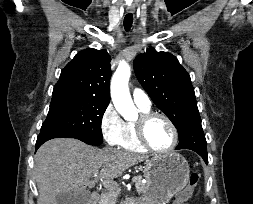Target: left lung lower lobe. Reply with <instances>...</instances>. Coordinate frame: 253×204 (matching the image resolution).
Masks as SVG:
<instances>
[{"mask_svg": "<svg viewBox=\"0 0 253 204\" xmlns=\"http://www.w3.org/2000/svg\"><path fill=\"white\" fill-rule=\"evenodd\" d=\"M178 149H190L198 153L208 163L207 142L201 126V119L189 124L185 132L179 137Z\"/></svg>", "mask_w": 253, "mask_h": 204, "instance_id": "obj_1", "label": "left lung lower lobe"}]
</instances>
